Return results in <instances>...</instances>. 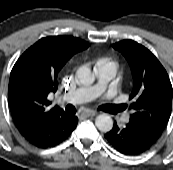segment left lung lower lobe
<instances>
[{"label": "left lung lower lobe", "instance_id": "obj_1", "mask_svg": "<svg viewBox=\"0 0 173 170\" xmlns=\"http://www.w3.org/2000/svg\"><path fill=\"white\" fill-rule=\"evenodd\" d=\"M105 138L124 155L141 154L158 140L151 131L133 122H129L125 128H119L115 122L112 130L105 134Z\"/></svg>", "mask_w": 173, "mask_h": 170}]
</instances>
